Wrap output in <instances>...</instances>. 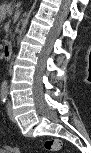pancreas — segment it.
Masks as SVG:
<instances>
[{
	"instance_id": "cf45deb5",
	"label": "pancreas",
	"mask_w": 91,
	"mask_h": 153,
	"mask_svg": "<svg viewBox=\"0 0 91 153\" xmlns=\"http://www.w3.org/2000/svg\"><path fill=\"white\" fill-rule=\"evenodd\" d=\"M12 10H13V8L11 7V5H9V4H3L1 6V9H0V12H1L2 17H4L6 15V13L11 14L12 13Z\"/></svg>"
}]
</instances>
